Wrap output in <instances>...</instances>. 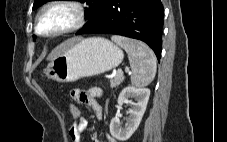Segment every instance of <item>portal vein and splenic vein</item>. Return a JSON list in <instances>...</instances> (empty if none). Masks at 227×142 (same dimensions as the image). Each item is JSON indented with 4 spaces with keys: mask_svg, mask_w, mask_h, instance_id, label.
I'll return each instance as SVG.
<instances>
[{
    "mask_svg": "<svg viewBox=\"0 0 227 142\" xmlns=\"http://www.w3.org/2000/svg\"><path fill=\"white\" fill-rule=\"evenodd\" d=\"M125 71H126V72H129V69L126 68ZM118 74H123V72H122V71H119Z\"/></svg>",
    "mask_w": 227,
    "mask_h": 142,
    "instance_id": "obj_1",
    "label": "portal vein and splenic vein"
}]
</instances>
